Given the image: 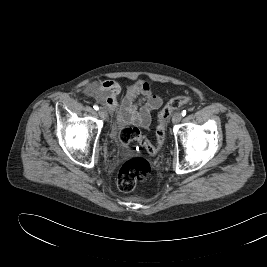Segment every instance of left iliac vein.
<instances>
[{
	"label": "left iliac vein",
	"mask_w": 267,
	"mask_h": 267,
	"mask_svg": "<svg viewBox=\"0 0 267 267\" xmlns=\"http://www.w3.org/2000/svg\"><path fill=\"white\" fill-rule=\"evenodd\" d=\"M181 119H182V115H181V113L177 112V113H175V114L173 115V117H172V122H173L174 124H177V123H179V122L181 121Z\"/></svg>",
	"instance_id": "left-iliac-vein-1"
}]
</instances>
